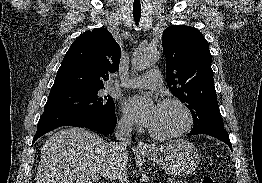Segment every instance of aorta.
<instances>
[{
	"mask_svg": "<svg viewBox=\"0 0 262 183\" xmlns=\"http://www.w3.org/2000/svg\"><path fill=\"white\" fill-rule=\"evenodd\" d=\"M159 59V51L152 47H139L134 52L133 67L136 70H145L153 66Z\"/></svg>",
	"mask_w": 262,
	"mask_h": 183,
	"instance_id": "obj_1",
	"label": "aorta"
}]
</instances>
